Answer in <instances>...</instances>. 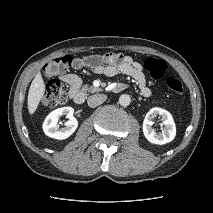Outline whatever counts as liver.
I'll return each mask as SVG.
<instances>
[{
  "mask_svg": "<svg viewBox=\"0 0 213 213\" xmlns=\"http://www.w3.org/2000/svg\"><path fill=\"white\" fill-rule=\"evenodd\" d=\"M45 93V84L40 72L36 74L34 77L28 92V111L32 115L36 111L40 100L44 96Z\"/></svg>",
  "mask_w": 213,
  "mask_h": 213,
  "instance_id": "obj_1",
  "label": "liver"
}]
</instances>
